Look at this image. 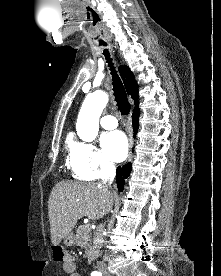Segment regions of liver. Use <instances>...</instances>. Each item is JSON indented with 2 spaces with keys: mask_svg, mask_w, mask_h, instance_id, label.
<instances>
[{
  "mask_svg": "<svg viewBox=\"0 0 221 276\" xmlns=\"http://www.w3.org/2000/svg\"><path fill=\"white\" fill-rule=\"evenodd\" d=\"M114 194L96 183H57L49 196L48 214L52 244H59L82 217L98 220L113 205Z\"/></svg>",
  "mask_w": 221,
  "mask_h": 276,
  "instance_id": "obj_1",
  "label": "liver"
}]
</instances>
